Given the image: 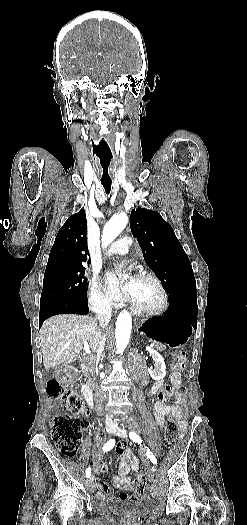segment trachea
I'll return each mask as SVG.
<instances>
[{"mask_svg":"<svg viewBox=\"0 0 247 525\" xmlns=\"http://www.w3.org/2000/svg\"><path fill=\"white\" fill-rule=\"evenodd\" d=\"M103 187L105 188V191L107 193V195H109L110 191H111V182H104V181H101Z\"/></svg>","mask_w":247,"mask_h":525,"instance_id":"obj_1","label":"trachea"}]
</instances>
